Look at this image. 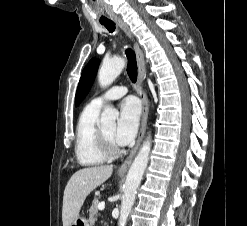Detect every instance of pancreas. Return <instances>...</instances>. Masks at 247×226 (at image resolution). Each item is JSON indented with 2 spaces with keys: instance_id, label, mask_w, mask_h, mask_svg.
Listing matches in <instances>:
<instances>
[{
  "instance_id": "obj_1",
  "label": "pancreas",
  "mask_w": 247,
  "mask_h": 226,
  "mask_svg": "<svg viewBox=\"0 0 247 226\" xmlns=\"http://www.w3.org/2000/svg\"><path fill=\"white\" fill-rule=\"evenodd\" d=\"M98 204H99V200L97 198H94V200L92 202V206H91V208L89 210V222L91 223V225H93L97 221Z\"/></svg>"
}]
</instances>
